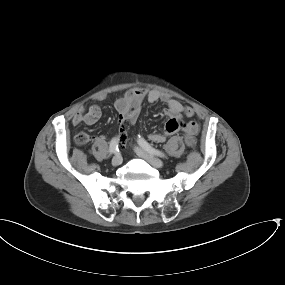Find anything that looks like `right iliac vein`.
Returning a JSON list of instances; mask_svg holds the SVG:
<instances>
[{
  "label": "right iliac vein",
  "instance_id": "63e3f726",
  "mask_svg": "<svg viewBox=\"0 0 285 285\" xmlns=\"http://www.w3.org/2000/svg\"><path fill=\"white\" fill-rule=\"evenodd\" d=\"M122 163V157L120 155H115L113 158H112V165L113 166H118Z\"/></svg>",
  "mask_w": 285,
  "mask_h": 285
}]
</instances>
